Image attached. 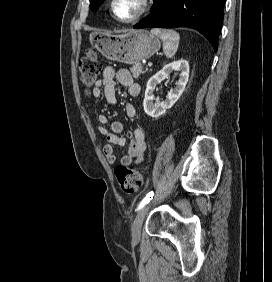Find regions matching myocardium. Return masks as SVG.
Masks as SVG:
<instances>
[{"instance_id":"myocardium-1","label":"myocardium","mask_w":272,"mask_h":282,"mask_svg":"<svg viewBox=\"0 0 272 282\" xmlns=\"http://www.w3.org/2000/svg\"><path fill=\"white\" fill-rule=\"evenodd\" d=\"M116 2L117 0H111V3H110V9H111V12L114 18L122 23H133L139 20L140 18H142L148 12V10L151 7L152 0H142L141 10L138 13H136L134 16L127 18V19H122L117 15L116 10H115Z\"/></svg>"}]
</instances>
